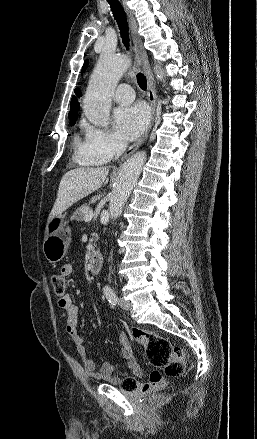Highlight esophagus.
<instances>
[{
	"mask_svg": "<svg viewBox=\"0 0 257 439\" xmlns=\"http://www.w3.org/2000/svg\"><path fill=\"white\" fill-rule=\"evenodd\" d=\"M123 5H124V9H125L127 16H128L130 30H131V36H132V40H133V44H134V49H135L138 61L142 65L143 71H144L146 78H147V89H148L147 94H148V100H149V103L151 106V118H150L149 126H148L146 132L132 146L129 147V149L122 156L121 160L127 159L132 153H134L143 144V142L145 141V139L147 138V136L151 130V127H152L153 121H154V117H155V112H156V91H155V86H154L153 75H152L150 64L148 61V56H147V53L143 47L142 39L138 34L137 22L133 16L131 10L127 6V3L125 0H123Z\"/></svg>",
	"mask_w": 257,
	"mask_h": 439,
	"instance_id": "34e87169",
	"label": "esophagus"
}]
</instances>
